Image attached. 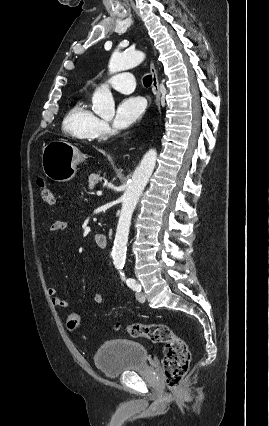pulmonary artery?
I'll use <instances>...</instances> for the list:
<instances>
[{
    "mask_svg": "<svg viewBox=\"0 0 269 426\" xmlns=\"http://www.w3.org/2000/svg\"><path fill=\"white\" fill-rule=\"evenodd\" d=\"M104 84L119 92L131 93L135 89V77L130 72H122L107 79Z\"/></svg>",
    "mask_w": 269,
    "mask_h": 426,
    "instance_id": "e3ab8cb5",
    "label": "pulmonary artery"
}]
</instances>
